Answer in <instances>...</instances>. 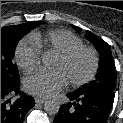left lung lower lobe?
Wrapping results in <instances>:
<instances>
[{"label": "left lung lower lobe", "instance_id": "0a47b994", "mask_svg": "<svg viewBox=\"0 0 123 123\" xmlns=\"http://www.w3.org/2000/svg\"><path fill=\"white\" fill-rule=\"evenodd\" d=\"M70 103L63 104L54 123H105L111 110L114 96L75 91L68 93Z\"/></svg>", "mask_w": 123, "mask_h": 123}]
</instances>
